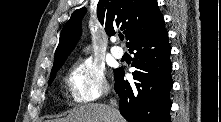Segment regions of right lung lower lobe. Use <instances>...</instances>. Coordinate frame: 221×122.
I'll use <instances>...</instances> for the list:
<instances>
[{
  "instance_id": "98d812e1",
  "label": "right lung lower lobe",
  "mask_w": 221,
  "mask_h": 122,
  "mask_svg": "<svg viewBox=\"0 0 221 122\" xmlns=\"http://www.w3.org/2000/svg\"><path fill=\"white\" fill-rule=\"evenodd\" d=\"M135 51L137 81L124 80L122 68L114 71L115 91L120 97V113L128 122H170L169 92L172 88L169 56L171 48L164 20L144 38L129 47Z\"/></svg>"
}]
</instances>
